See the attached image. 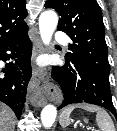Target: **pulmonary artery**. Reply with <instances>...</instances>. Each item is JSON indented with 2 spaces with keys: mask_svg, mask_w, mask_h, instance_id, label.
Here are the masks:
<instances>
[{
  "mask_svg": "<svg viewBox=\"0 0 117 131\" xmlns=\"http://www.w3.org/2000/svg\"><path fill=\"white\" fill-rule=\"evenodd\" d=\"M55 40L58 43H64V44H67L70 42L69 37L63 32H57L55 35Z\"/></svg>",
  "mask_w": 117,
  "mask_h": 131,
  "instance_id": "obj_1",
  "label": "pulmonary artery"
}]
</instances>
